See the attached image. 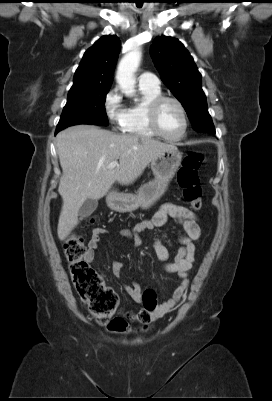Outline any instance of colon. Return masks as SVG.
<instances>
[{
    "instance_id": "colon-1",
    "label": "colon",
    "mask_w": 272,
    "mask_h": 401,
    "mask_svg": "<svg viewBox=\"0 0 272 401\" xmlns=\"http://www.w3.org/2000/svg\"><path fill=\"white\" fill-rule=\"evenodd\" d=\"M203 160L202 153L190 152L183 159L177 174V183L182 190L183 198L194 210H199L202 206V189L198 171ZM87 220L93 223L96 217L90 215ZM64 253L70 264L73 284L81 300L89 306L100 324L108 323L118 310V296L104 284L101 276L86 262L84 238L79 234L70 235L64 242ZM143 304L148 311L156 308V297L153 291L144 292Z\"/></svg>"
}]
</instances>
